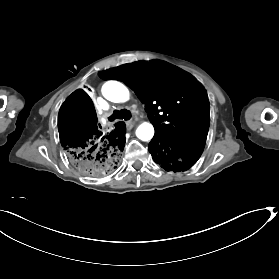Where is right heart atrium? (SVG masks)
<instances>
[{
	"label": "right heart atrium",
	"instance_id": "1",
	"mask_svg": "<svg viewBox=\"0 0 279 279\" xmlns=\"http://www.w3.org/2000/svg\"><path fill=\"white\" fill-rule=\"evenodd\" d=\"M142 133H143V134H146V133H147V130H143Z\"/></svg>",
	"mask_w": 279,
	"mask_h": 279
}]
</instances>
